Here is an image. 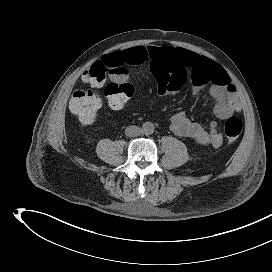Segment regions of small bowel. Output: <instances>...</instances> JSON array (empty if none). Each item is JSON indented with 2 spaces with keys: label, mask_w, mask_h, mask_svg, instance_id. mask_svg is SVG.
<instances>
[{
  "label": "small bowel",
  "mask_w": 272,
  "mask_h": 272,
  "mask_svg": "<svg viewBox=\"0 0 272 272\" xmlns=\"http://www.w3.org/2000/svg\"><path fill=\"white\" fill-rule=\"evenodd\" d=\"M150 62L157 80L156 92L159 96L178 93L184 83L191 82V96L197 97L205 86H209L214 101V113L226 119L242 110L236 87L231 83L225 69L205 56L183 48L170 46H136L105 55L99 63L112 68L117 66L140 65ZM128 73L126 74V78ZM115 78V75H112ZM171 130L182 137L190 138L202 145L219 148L223 135L212 121L209 130L190 120L180 112L171 118Z\"/></svg>",
  "instance_id": "obj_1"
}]
</instances>
